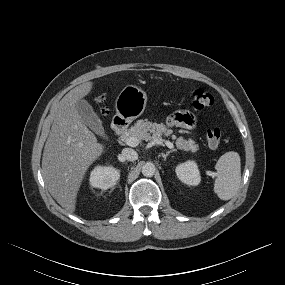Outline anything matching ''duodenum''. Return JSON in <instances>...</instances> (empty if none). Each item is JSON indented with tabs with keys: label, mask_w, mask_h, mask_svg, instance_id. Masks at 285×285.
Listing matches in <instances>:
<instances>
[{
	"label": "duodenum",
	"mask_w": 285,
	"mask_h": 285,
	"mask_svg": "<svg viewBox=\"0 0 285 285\" xmlns=\"http://www.w3.org/2000/svg\"><path fill=\"white\" fill-rule=\"evenodd\" d=\"M113 131L117 136L122 135L127 127H128V123L127 121L122 118V117H116L113 121Z\"/></svg>",
	"instance_id": "obj_1"
}]
</instances>
